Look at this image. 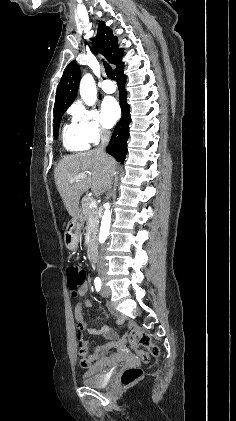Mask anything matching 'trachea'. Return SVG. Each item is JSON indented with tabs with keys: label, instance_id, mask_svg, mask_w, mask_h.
Wrapping results in <instances>:
<instances>
[{
	"label": "trachea",
	"instance_id": "3493384b",
	"mask_svg": "<svg viewBox=\"0 0 236 421\" xmlns=\"http://www.w3.org/2000/svg\"><path fill=\"white\" fill-rule=\"evenodd\" d=\"M104 67H105L106 75L108 76V78H110V80H115V73L113 69L105 61H104Z\"/></svg>",
	"mask_w": 236,
	"mask_h": 421
}]
</instances>
